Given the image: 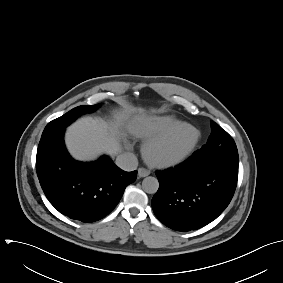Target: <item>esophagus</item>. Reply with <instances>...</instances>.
Instances as JSON below:
<instances>
[{"mask_svg": "<svg viewBox=\"0 0 283 283\" xmlns=\"http://www.w3.org/2000/svg\"><path fill=\"white\" fill-rule=\"evenodd\" d=\"M150 170L148 169H145V168H139L138 169V177L139 178H143V177H146L148 175H150Z\"/></svg>", "mask_w": 283, "mask_h": 283, "instance_id": "34e87169", "label": "esophagus"}]
</instances>
